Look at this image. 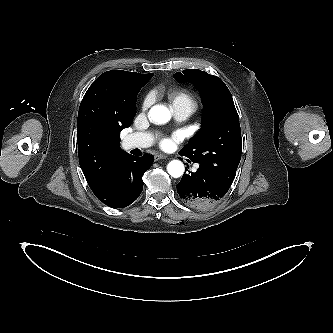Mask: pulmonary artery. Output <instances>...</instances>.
Wrapping results in <instances>:
<instances>
[{
    "label": "pulmonary artery",
    "instance_id": "1",
    "mask_svg": "<svg viewBox=\"0 0 333 333\" xmlns=\"http://www.w3.org/2000/svg\"><path fill=\"white\" fill-rule=\"evenodd\" d=\"M195 108L190 106H175L173 112L178 120H184L188 118ZM154 137L147 132L133 133L127 136L126 145L128 148H146L153 144Z\"/></svg>",
    "mask_w": 333,
    "mask_h": 333
}]
</instances>
